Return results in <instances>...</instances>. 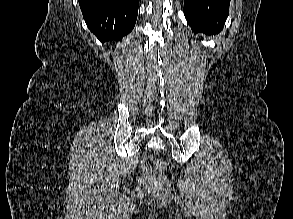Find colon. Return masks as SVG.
I'll use <instances>...</instances> for the list:
<instances>
[{
  "label": "colon",
  "mask_w": 293,
  "mask_h": 219,
  "mask_svg": "<svg viewBox=\"0 0 293 219\" xmlns=\"http://www.w3.org/2000/svg\"><path fill=\"white\" fill-rule=\"evenodd\" d=\"M141 166L145 171H157L163 173L167 169V164L159 162L152 156H145L141 161ZM135 191L138 194H144L147 191V184L143 180H138L135 185Z\"/></svg>",
  "instance_id": "obj_1"
}]
</instances>
